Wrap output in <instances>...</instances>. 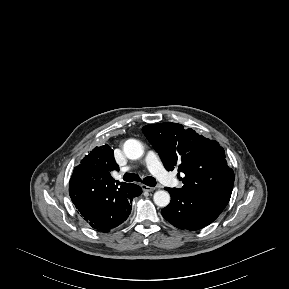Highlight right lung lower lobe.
<instances>
[{
    "label": "right lung lower lobe",
    "mask_w": 289,
    "mask_h": 289,
    "mask_svg": "<svg viewBox=\"0 0 289 289\" xmlns=\"http://www.w3.org/2000/svg\"><path fill=\"white\" fill-rule=\"evenodd\" d=\"M142 190L135 184H127L116 192L95 177L74 171L69 194L85 221L103 233L123 223L131 212L133 198Z\"/></svg>",
    "instance_id": "obj_1"
}]
</instances>
